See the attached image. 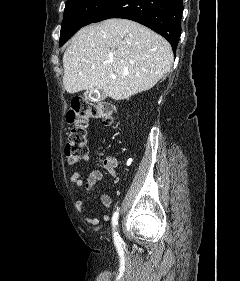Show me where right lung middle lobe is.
Wrapping results in <instances>:
<instances>
[{
	"instance_id": "obj_1",
	"label": "right lung middle lobe",
	"mask_w": 240,
	"mask_h": 281,
	"mask_svg": "<svg viewBox=\"0 0 240 281\" xmlns=\"http://www.w3.org/2000/svg\"><path fill=\"white\" fill-rule=\"evenodd\" d=\"M116 0H67L61 25L60 45L81 27L94 22Z\"/></svg>"
}]
</instances>
